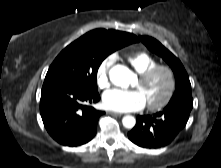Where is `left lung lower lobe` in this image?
Returning <instances> with one entry per match:
<instances>
[{
    "mask_svg": "<svg viewBox=\"0 0 221 168\" xmlns=\"http://www.w3.org/2000/svg\"><path fill=\"white\" fill-rule=\"evenodd\" d=\"M193 105L166 106L154 115L137 116L129 139L143 148H160L168 145L185 127Z\"/></svg>",
    "mask_w": 221,
    "mask_h": 168,
    "instance_id": "1",
    "label": "left lung lower lobe"
}]
</instances>
